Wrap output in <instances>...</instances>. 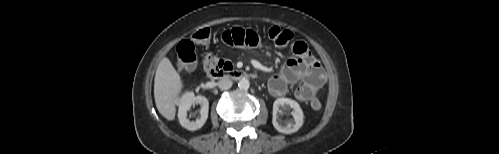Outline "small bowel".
Listing matches in <instances>:
<instances>
[{
	"label": "small bowel",
	"mask_w": 499,
	"mask_h": 154,
	"mask_svg": "<svg viewBox=\"0 0 499 154\" xmlns=\"http://www.w3.org/2000/svg\"><path fill=\"white\" fill-rule=\"evenodd\" d=\"M222 41L231 47L255 48L264 45V40L255 31L232 28L222 34ZM294 54L284 65L280 73L272 76L268 89L275 97L284 96L290 86L301 83L294 92L299 102L312 100L325 86L326 76L319 61L312 55L304 41H295L291 45Z\"/></svg>",
	"instance_id": "1"
}]
</instances>
